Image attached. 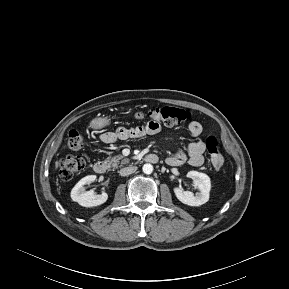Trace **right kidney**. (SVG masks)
Returning <instances> with one entry per match:
<instances>
[{
	"label": "right kidney",
	"mask_w": 289,
	"mask_h": 289,
	"mask_svg": "<svg viewBox=\"0 0 289 289\" xmlns=\"http://www.w3.org/2000/svg\"><path fill=\"white\" fill-rule=\"evenodd\" d=\"M95 180V175H88L82 178L72 189L71 199L84 207H94L105 203L108 199L107 193L103 192L95 195L93 190H85V185Z\"/></svg>",
	"instance_id": "right-kidney-1"
}]
</instances>
